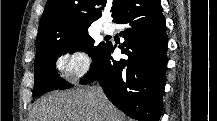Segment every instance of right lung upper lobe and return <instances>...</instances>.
I'll use <instances>...</instances> for the list:
<instances>
[{"label":"right lung upper lobe","mask_w":217,"mask_h":121,"mask_svg":"<svg viewBox=\"0 0 217 121\" xmlns=\"http://www.w3.org/2000/svg\"><path fill=\"white\" fill-rule=\"evenodd\" d=\"M137 1L113 0V21L132 8ZM106 3L107 0H48L40 21L36 46L88 28L102 16Z\"/></svg>","instance_id":"right-lung-upper-lobe-1"}]
</instances>
